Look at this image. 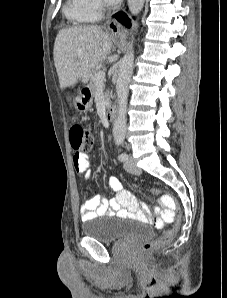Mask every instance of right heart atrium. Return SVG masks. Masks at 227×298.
I'll return each mask as SVG.
<instances>
[{
	"label": "right heart atrium",
	"mask_w": 227,
	"mask_h": 298,
	"mask_svg": "<svg viewBox=\"0 0 227 298\" xmlns=\"http://www.w3.org/2000/svg\"><path fill=\"white\" fill-rule=\"evenodd\" d=\"M91 1V3H92V5H93V7L97 10V9H99L100 7H101V2H100V0H90Z\"/></svg>",
	"instance_id": "obj_1"
}]
</instances>
